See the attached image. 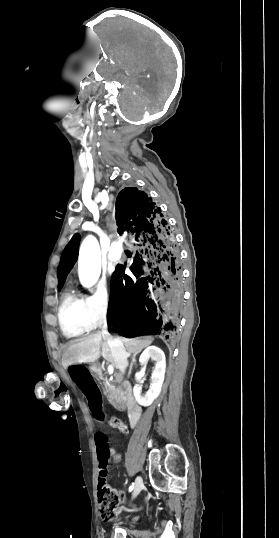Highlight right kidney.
Instances as JSON below:
<instances>
[{
    "label": "right kidney",
    "mask_w": 279,
    "mask_h": 538,
    "mask_svg": "<svg viewBox=\"0 0 279 538\" xmlns=\"http://www.w3.org/2000/svg\"><path fill=\"white\" fill-rule=\"evenodd\" d=\"M148 360H154V362H156L155 370H153V374L151 376L152 384L150 386V390H148L146 396H141L142 388H139L138 384H136V386L133 388L135 400L138 402V404H140V406H151L153 400L159 396L162 384L164 382L166 368L164 352H162L160 348H157V346H149V348H146V350L142 352L139 362L141 366H145ZM144 372L145 368H143L142 372H137V374H135V378L138 380V382L141 380V378H143Z\"/></svg>",
    "instance_id": "right-kidney-1"
}]
</instances>
